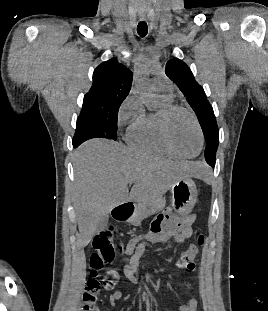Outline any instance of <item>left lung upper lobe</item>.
<instances>
[{"instance_id":"1","label":"left lung upper lobe","mask_w":268,"mask_h":311,"mask_svg":"<svg viewBox=\"0 0 268 311\" xmlns=\"http://www.w3.org/2000/svg\"><path fill=\"white\" fill-rule=\"evenodd\" d=\"M165 73L178 86L195 112L206 140L205 159L209 165L214 167L219 130L213 108L203 88L195 81L189 67L179 59L169 60L166 63Z\"/></svg>"}]
</instances>
